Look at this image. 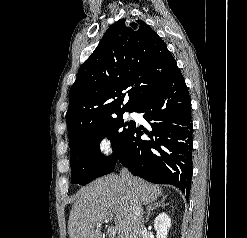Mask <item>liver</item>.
<instances>
[{
    "label": "liver",
    "instance_id": "6515ba94",
    "mask_svg": "<svg viewBox=\"0 0 247 238\" xmlns=\"http://www.w3.org/2000/svg\"><path fill=\"white\" fill-rule=\"evenodd\" d=\"M132 195L140 203L149 205L162 195V189L137 177H132L129 185L115 174L101 177L82 187L70 212L69 238H101L100 222L113 218L119 238H130Z\"/></svg>",
    "mask_w": 247,
    "mask_h": 238
}]
</instances>
